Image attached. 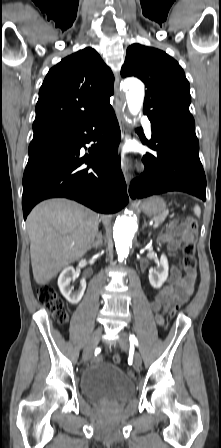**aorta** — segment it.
Returning <instances> with one entry per match:
<instances>
[{
  "label": "aorta",
  "instance_id": "obj_1",
  "mask_svg": "<svg viewBox=\"0 0 221 448\" xmlns=\"http://www.w3.org/2000/svg\"><path fill=\"white\" fill-rule=\"evenodd\" d=\"M123 89L126 92L129 111L131 114L137 115L143 105L144 85L137 79H127L123 83ZM137 229V222L131 216L123 215L116 219L113 237L119 261H122L129 254Z\"/></svg>",
  "mask_w": 221,
  "mask_h": 448
}]
</instances>
